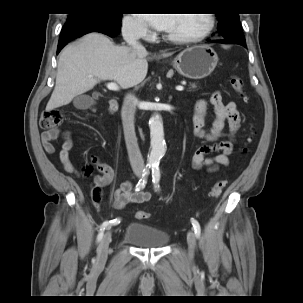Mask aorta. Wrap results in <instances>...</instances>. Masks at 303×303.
I'll use <instances>...</instances> for the list:
<instances>
[{
    "mask_svg": "<svg viewBox=\"0 0 303 303\" xmlns=\"http://www.w3.org/2000/svg\"><path fill=\"white\" fill-rule=\"evenodd\" d=\"M150 152L148 154V164L157 165L165 155L167 146L164 140L162 119L159 114H154L150 119Z\"/></svg>",
    "mask_w": 303,
    "mask_h": 303,
    "instance_id": "762f6f07",
    "label": "aorta"
}]
</instances>
